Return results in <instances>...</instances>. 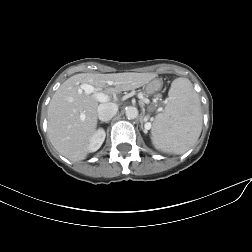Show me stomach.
I'll return each mask as SVG.
<instances>
[{"instance_id": "stomach-1", "label": "stomach", "mask_w": 252, "mask_h": 252, "mask_svg": "<svg viewBox=\"0 0 252 252\" xmlns=\"http://www.w3.org/2000/svg\"><path fill=\"white\" fill-rule=\"evenodd\" d=\"M162 88V81L154 79L150 81L145 87V93L150 95L154 94Z\"/></svg>"}]
</instances>
